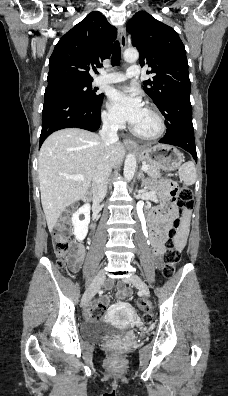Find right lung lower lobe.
<instances>
[{
  "mask_svg": "<svg viewBox=\"0 0 228 396\" xmlns=\"http://www.w3.org/2000/svg\"><path fill=\"white\" fill-rule=\"evenodd\" d=\"M86 103L78 97L62 91L45 93L42 111L40 146L53 132L70 127L96 131L101 124V104Z\"/></svg>",
  "mask_w": 228,
  "mask_h": 396,
  "instance_id": "obj_1",
  "label": "right lung lower lobe"
}]
</instances>
